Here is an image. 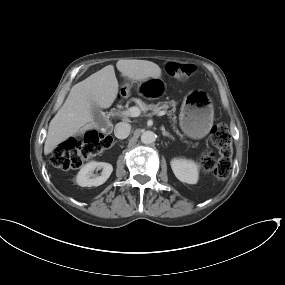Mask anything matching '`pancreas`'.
Masks as SVG:
<instances>
[{"instance_id":"cf45deb5","label":"pancreas","mask_w":285,"mask_h":285,"mask_svg":"<svg viewBox=\"0 0 285 285\" xmlns=\"http://www.w3.org/2000/svg\"><path fill=\"white\" fill-rule=\"evenodd\" d=\"M140 108L142 111H159L161 109H167L169 106H173L174 108L169 111L168 115L172 118L173 122H176V116L174 115L175 112V102L168 101V102H158L157 104H145L141 103ZM173 115V117H171ZM177 134L182 138V134L177 131Z\"/></svg>"}]
</instances>
